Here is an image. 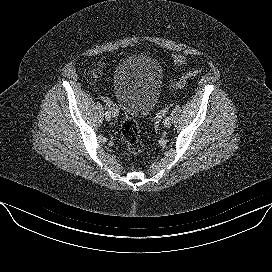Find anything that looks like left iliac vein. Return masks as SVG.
<instances>
[{
  "mask_svg": "<svg viewBox=\"0 0 272 272\" xmlns=\"http://www.w3.org/2000/svg\"><path fill=\"white\" fill-rule=\"evenodd\" d=\"M163 125H164V127H166V128L171 127V119L165 118L164 121H163Z\"/></svg>",
  "mask_w": 272,
  "mask_h": 272,
  "instance_id": "4c4485c4",
  "label": "left iliac vein"
}]
</instances>
